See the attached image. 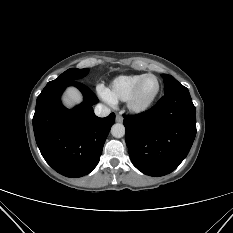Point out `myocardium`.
<instances>
[{
    "label": "myocardium",
    "instance_id": "obj_1",
    "mask_svg": "<svg viewBox=\"0 0 233 233\" xmlns=\"http://www.w3.org/2000/svg\"><path fill=\"white\" fill-rule=\"evenodd\" d=\"M149 77H152L156 80L157 82V89L156 92L154 93V95L145 103H139L137 101V95L139 92V89L141 87V84L143 83V81ZM161 90V84L160 81L158 79L157 76L153 75V74H145L143 77L140 78V80L135 84L134 88L132 89L130 95L128 96L127 100H126V105L127 108L129 109V111H131L134 114H143L146 111H148L152 105L154 104V102L156 101L159 93Z\"/></svg>",
    "mask_w": 233,
    "mask_h": 233
}]
</instances>
